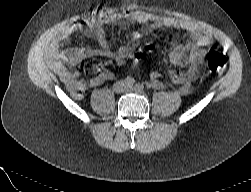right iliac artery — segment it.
I'll return each instance as SVG.
<instances>
[{"instance_id": "obj_1", "label": "right iliac artery", "mask_w": 251, "mask_h": 192, "mask_svg": "<svg viewBox=\"0 0 251 192\" xmlns=\"http://www.w3.org/2000/svg\"><path fill=\"white\" fill-rule=\"evenodd\" d=\"M124 83H125L127 86L131 87V86L134 85L135 80H134V78L128 76V77L125 78Z\"/></svg>"}]
</instances>
